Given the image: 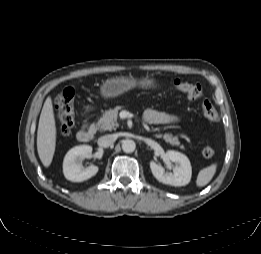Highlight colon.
<instances>
[{
    "label": "colon",
    "instance_id": "1",
    "mask_svg": "<svg viewBox=\"0 0 261 254\" xmlns=\"http://www.w3.org/2000/svg\"><path fill=\"white\" fill-rule=\"evenodd\" d=\"M175 89L187 95L190 100L200 101V106L204 117L211 122H218L220 119L218 111L206 99L202 97V87L199 83L186 82L176 79L173 82ZM74 89L65 88L55 99L56 122L61 134L69 135L74 125L73 111ZM205 158L215 155V150L211 146H206L202 150Z\"/></svg>",
    "mask_w": 261,
    "mask_h": 254
}]
</instances>
